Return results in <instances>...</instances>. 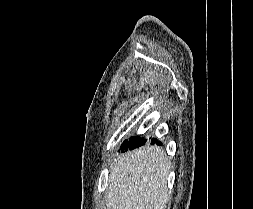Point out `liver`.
Instances as JSON below:
<instances>
[{
    "label": "liver",
    "mask_w": 253,
    "mask_h": 209,
    "mask_svg": "<svg viewBox=\"0 0 253 209\" xmlns=\"http://www.w3.org/2000/svg\"><path fill=\"white\" fill-rule=\"evenodd\" d=\"M170 161L158 146H144L114 161L107 209H165Z\"/></svg>",
    "instance_id": "obj_1"
}]
</instances>
